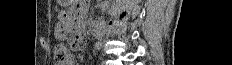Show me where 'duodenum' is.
<instances>
[{
    "label": "duodenum",
    "mask_w": 232,
    "mask_h": 65,
    "mask_svg": "<svg viewBox=\"0 0 232 65\" xmlns=\"http://www.w3.org/2000/svg\"><path fill=\"white\" fill-rule=\"evenodd\" d=\"M85 29H86V23L84 18L79 19L78 22V34H79V38H82L84 33H85Z\"/></svg>",
    "instance_id": "obj_1"
}]
</instances>
